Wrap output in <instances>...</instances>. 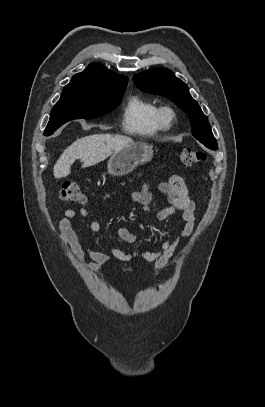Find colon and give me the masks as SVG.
Returning a JSON list of instances; mask_svg holds the SVG:
<instances>
[{"label": "colon", "instance_id": "1", "mask_svg": "<svg viewBox=\"0 0 265 407\" xmlns=\"http://www.w3.org/2000/svg\"><path fill=\"white\" fill-rule=\"evenodd\" d=\"M179 157L184 165L192 166L204 161L206 156L200 150L187 148L180 152ZM59 197L67 202H82L84 200V193L77 183L68 181L62 184Z\"/></svg>", "mask_w": 265, "mask_h": 407}]
</instances>
